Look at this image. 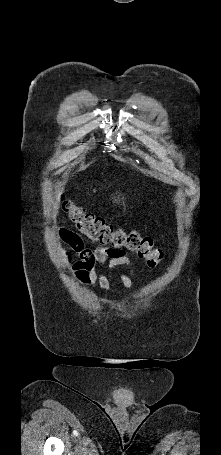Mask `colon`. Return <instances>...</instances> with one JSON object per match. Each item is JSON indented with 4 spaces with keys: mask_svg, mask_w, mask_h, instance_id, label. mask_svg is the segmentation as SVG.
Segmentation results:
<instances>
[{
    "mask_svg": "<svg viewBox=\"0 0 221 455\" xmlns=\"http://www.w3.org/2000/svg\"><path fill=\"white\" fill-rule=\"evenodd\" d=\"M61 207L77 230L90 241L114 250L129 251L146 260L149 266H157L163 259V252L153 244L151 237L143 236L138 231H126L114 228L102 218L96 217L74 203L71 199L61 196Z\"/></svg>",
    "mask_w": 221,
    "mask_h": 455,
    "instance_id": "1",
    "label": "colon"
}]
</instances>
